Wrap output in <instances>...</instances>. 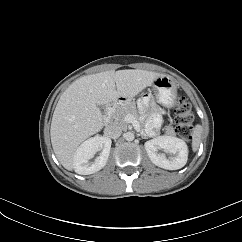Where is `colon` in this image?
Here are the masks:
<instances>
[{
    "mask_svg": "<svg viewBox=\"0 0 242 242\" xmlns=\"http://www.w3.org/2000/svg\"><path fill=\"white\" fill-rule=\"evenodd\" d=\"M174 125L176 132L184 138H191L193 133V116L191 105L184 96L175 100Z\"/></svg>",
    "mask_w": 242,
    "mask_h": 242,
    "instance_id": "5ec220e1",
    "label": "colon"
}]
</instances>
